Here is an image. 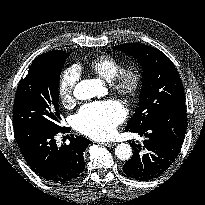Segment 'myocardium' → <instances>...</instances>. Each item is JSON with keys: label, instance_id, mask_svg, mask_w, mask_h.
I'll list each match as a JSON object with an SVG mask.
<instances>
[{"label": "myocardium", "instance_id": "myocardium-1", "mask_svg": "<svg viewBox=\"0 0 205 205\" xmlns=\"http://www.w3.org/2000/svg\"><path fill=\"white\" fill-rule=\"evenodd\" d=\"M143 84V74L136 65L122 67L117 75L112 79V88L123 97H133L141 89Z\"/></svg>", "mask_w": 205, "mask_h": 205}]
</instances>
